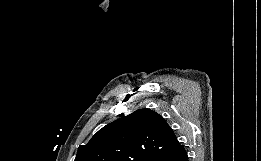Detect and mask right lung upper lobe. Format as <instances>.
<instances>
[{
  "label": "right lung upper lobe",
  "instance_id": "1",
  "mask_svg": "<svg viewBox=\"0 0 261 161\" xmlns=\"http://www.w3.org/2000/svg\"><path fill=\"white\" fill-rule=\"evenodd\" d=\"M182 147L163 117L139 109L109 123L80 145L75 161H153Z\"/></svg>",
  "mask_w": 261,
  "mask_h": 161
}]
</instances>
